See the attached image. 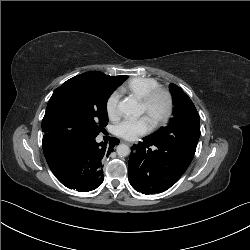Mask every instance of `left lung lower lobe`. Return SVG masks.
<instances>
[{"label":"left lung lower lobe","instance_id":"0a47b994","mask_svg":"<svg viewBox=\"0 0 250 250\" xmlns=\"http://www.w3.org/2000/svg\"><path fill=\"white\" fill-rule=\"evenodd\" d=\"M200 137V125L176 130L170 137L147 136L131 147L129 182L143 194L170 188L190 165Z\"/></svg>","mask_w":250,"mask_h":250}]
</instances>
